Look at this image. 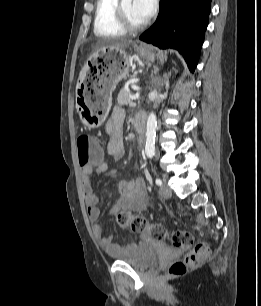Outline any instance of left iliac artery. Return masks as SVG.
Masks as SVG:
<instances>
[{
	"instance_id": "1",
	"label": "left iliac artery",
	"mask_w": 261,
	"mask_h": 306,
	"mask_svg": "<svg viewBox=\"0 0 261 306\" xmlns=\"http://www.w3.org/2000/svg\"><path fill=\"white\" fill-rule=\"evenodd\" d=\"M155 182H156V184L159 185V186L162 185V181H161V179H159V178H157V179L155 180Z\"/></svg>"
}]
</instances>
